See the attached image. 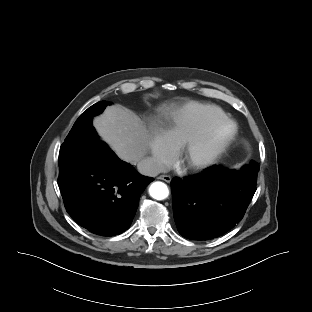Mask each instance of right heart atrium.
<instances>
[{
  "label": "right heart atrium",
  "mask_w": 312,
  "mask_h": 312,
  "mask_svg": "<svg viewBox=\"0 0 312 312\" xmlns=\"http://www.w3.org/2000/svg\"><path fill=\"white\" fill-rule=\"evenodd\" d=\"M147 148L151 153L153 170L164 168L176 152V147L167 138L164 129L157 124H151L148 128Z\"/></svg>",
  "instance_id": "right-heart-atrium-1"
}]
</instances>
